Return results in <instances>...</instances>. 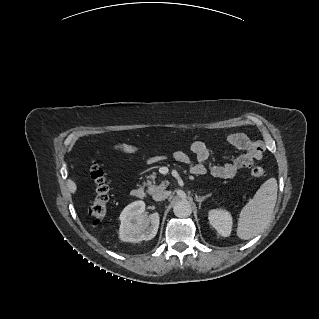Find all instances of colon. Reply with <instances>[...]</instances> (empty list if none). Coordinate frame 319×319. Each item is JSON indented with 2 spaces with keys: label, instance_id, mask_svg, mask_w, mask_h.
<instances>
[{
  "label": "colon",
  "instance_id": "obj_1",
  "mask_svg": "<svg viewBox=\"0 0 319 319\" xmlns=\"http://www.w3.org/2000/svg\"><path fill=\"white\" fill-rule=\"evenodd\" d=\"M250 173L254 177H262L265 175V170L260 166H253L250 169ZM86 175L95 187L96 197L90 206V215L93 219V224L98 225L106 215L109 188L105 173L98 163L93 162L89 166Z\"/></svg>",
  "mask_w": 319,
  "mask_h": 319
}]
</instances>
